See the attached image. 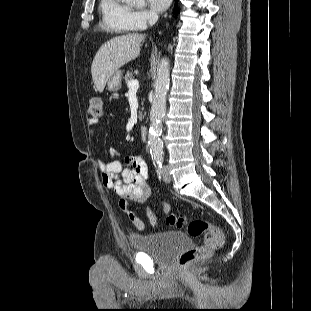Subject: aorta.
I'll list each match as a JSON object with an SVG mask.
<instances>
[{"label": "aorta", "instance_id": "aorta-1", "mask_svg": "<svg viewBox=\"0 0 311 311\" xmlns=\"http://www.w3.org/2000/svg\"><path fill=\"white\" fill-rule=\"evenodd\" d=\"M129 5L143 6L145 0H123ZM170 65L166 58L161 59L157 68V77L154 84V99L150 111V126L148 145L152 158L161 159L163 155L162 118L166 112V94L170 83Z\"/></svg>", "mask_w": 311, "mask_h": 311}]
</instances>
